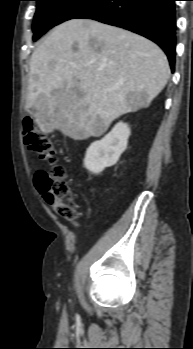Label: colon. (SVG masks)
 <instances>
[{"instance_id":"colon-1","label":"colon","mask_w":193,"mask_h":349,"mask_svg":"<svg viewBox=\"0 0 193 349\" xmlns=\"http://www.w3.org/2000/svg\"><path fill=\"white\" fill-rule=\"evenodd\" d=\"M23 139L29 149L34 151L40 159L52 165L48 171L37 172L35 176L37 189L58 215L74 221L77 216V205L67 183L66 170L62 165L57 164L53 141L29 117L23 120Z\"/></svg>"}]
</instances>
